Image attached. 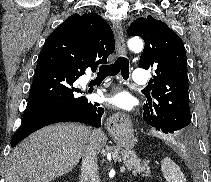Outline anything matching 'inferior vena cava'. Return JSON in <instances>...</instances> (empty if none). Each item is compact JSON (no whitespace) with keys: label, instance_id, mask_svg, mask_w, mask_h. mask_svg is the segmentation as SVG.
Listing matches in <instances>:
<instances>
[{"label":"inferior vena cava","instance_id":"obj_1","mask_svg":"<svg viewBox=\"0 0 211 182\" xmlns=\"http://www.w3.org/2000/svg\"><path fill=\"white\" fill-rule=\"evenodd\" d=\"M97 150L89 140L82 156L81 182H98Z\"/></svg>","mask_w":211,"mask_h":182}]
</instances>
